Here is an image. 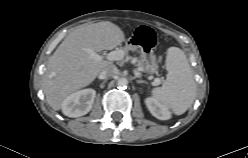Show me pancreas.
I'll use <instances>...</instances> for the list:
<instances>
[{"label": "pancreas", "instance_id": "cf45deb5", "mask_svg": "<svg viewBox=\"0 0 248 158\" xmlns=\"http://www.w3.org/2000/svg\"><path fill=\"white\" fill-rule=\"evenodd\" d=\"M137 67L140 71H144V65H143V62L142 61H138L137 63Z\"/></svg>", "mask_w": 248, "mask_h": 158}]
</instances>
